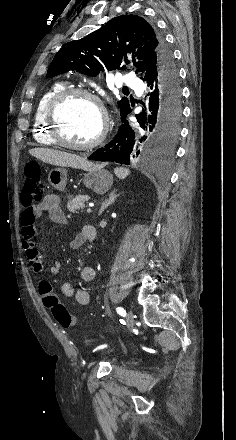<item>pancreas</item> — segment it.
<instances>
[{
  "label": "pancreas",
  "instance_id": "pancreas-1",
  "mask_svg": "<svg viewBox=\"0 0 236 440\" xmlns=\"http://www.w3.org/2000/svg\"><path fill=\"white\" fill-rule=\"evenodd\" d=\"M89 200L87 195H78L73 197L72 195L68 196L67 208L72 213H78L80 209L85 208V202Z\"/></svg>",
  "mask_w": 236,
  "mask_h": 440
}]
</instances>
